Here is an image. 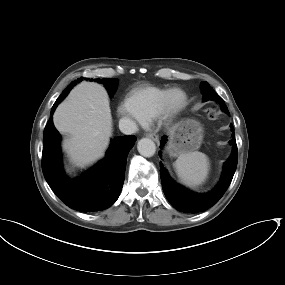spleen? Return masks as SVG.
Here are the masks:
<instances>
[{"instance_id": "obj_1", "label": "spleen", "mask_w": 285, "mask_h": 285, "mask_svg": "<svg viewBox=\"0 0 285 285\" xmlns=\"http://www.w3.org/2000/svg\"><path fill=\"white\" fill-rule=\"evenodd\" d=\"M174 167L183 183L190 187H198L208 177L210 162L206 154L194 151L179 155Z\"/></svg>"}]
</instances>
